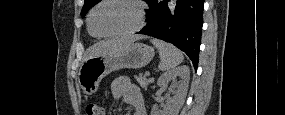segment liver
<instances>
[{
    "instance_id": "obj_1",
    "label": "liver",
    "mask_w": 285,
    "mask_h": 115,
    "mask_svg": "<svg viewBox=\"0 0 285 115\" xmlns=\"http://www.w3.org/2000/svg\"><path fill=\"white\" fill-rule=\"evenodd\" d=\"M136 39L137 38L121 37L117 39L101 41L91 48L89 54L85 58V61L92 57L114 54L130 43L134 42Z\"/></svg>"
}]
</instances>
